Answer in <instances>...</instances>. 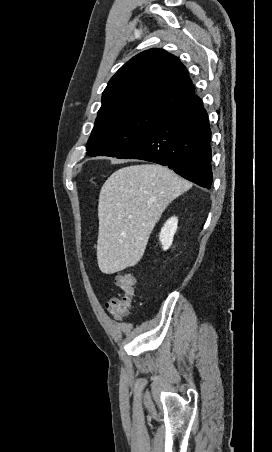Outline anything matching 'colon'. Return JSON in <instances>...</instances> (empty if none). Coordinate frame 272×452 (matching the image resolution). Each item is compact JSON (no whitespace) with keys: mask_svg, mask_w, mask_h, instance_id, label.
I'll return each instance as SVG.
<instances>
[{"mask_svg":"<svg viewBox=\"0 0 272 452\" xmlns=\"http://www.w3.org/2000/svg\"><path fill=\"white\" fill-rule=\"evenodd\" d=\"M115 283L121 289L123 296L111 298L106 307L117 316H126L135 294V278L130 272H118L115 275Z\"/></svg>","mask_w":272,"mask_h":452,"instance_id":"colon-1","label":"colon"}]
</instances>
